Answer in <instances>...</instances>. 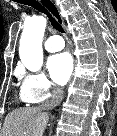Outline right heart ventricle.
<instances>
[{
    "mask_svg": "<svg viewBox=\"0 0 117 136\" xmlns=\"http://www.w3.org/2000/svg\"><path fill=\"white\" fill-rule=\"evenodd\" d=\"M20 99H21V101H23V102H26V103H27V101L25 100V98H24V96H23L22 92L20 93Z\"/></svg>",
    "mask_w": 117,
    "mask_h": 136,
    "instance_id": "1",
    "label": "right heart ventricle"
}]
</instances>
